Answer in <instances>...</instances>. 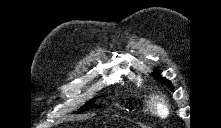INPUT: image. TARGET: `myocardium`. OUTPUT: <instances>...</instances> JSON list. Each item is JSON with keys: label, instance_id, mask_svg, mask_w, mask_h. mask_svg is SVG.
Wrapping results in <instances>:
<instances>
[{"label": "myocardium", "instance_id": "f54148a6", "mask_svg": "<svg viewBox=\"0 0 221 128\" xmlns=\"http://www.w3.org/2000/svg\"><path fill=\"white\" fill-rule=\"evenodd\" d=\"M151 112L161 118L170 114V106L162 96H155L150 100Z\"/></svg>", "mask_w": 221, "mask_h": 128}]
</instances>
